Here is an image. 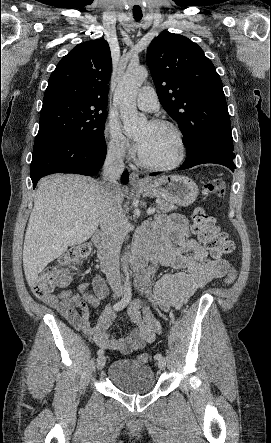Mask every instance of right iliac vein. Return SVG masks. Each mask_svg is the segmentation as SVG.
<instances>
[{"label":"right iliac vein","mask_w":271,"mask_h":443,"mask_svg":"<svg viewBox=\"0 0 271 443\" xmlns=\"http://www.w3.org/2000/svg\"><path fill=\"white\" fill-rule=\"evenodd\" d=\"M105 364H106V357L99 356L96 361L97 370H102L104 368Z\"/></svg>","instance_id":"obj_1"}]
</instances>
